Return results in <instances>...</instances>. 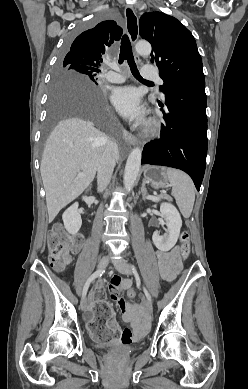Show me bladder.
I'll return each mask as SVG.
<instances>
[{
  "instance_id": "obj_1",
  "label": "bladder",
  "mask_w": 248,
  "mask_h": 389,
  "mask_svg": "<svg viewBox=\"0 0 248 389\" xmlns=\"http://www.w3.org/2000/svg\"><path fill=\"white\" fill-rule=\"evenodd\" d=\"M94 346L97 348V349H101V350H115V349H118L119 346L116 345V344H113V343H104V342H98V341H95L94 342Z\"/></svg>"
}]
</instances>
